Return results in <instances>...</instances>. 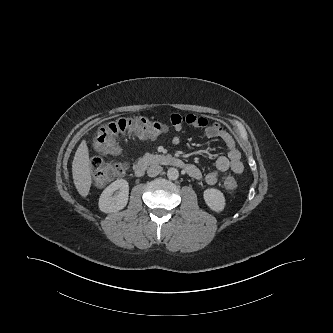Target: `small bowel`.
Masks as SVG:
<instances>
[{
  "label": "small bowel",
  "instance_id": "1",
  "mask_svg": "<svg viewBox=\"0 0 333 333\" xmlns=\"http://www.w3.org/2000/svg\"><path fill=\"white\" fill-rule=\"evenodd\" d=\"M170 120L174 126V131L176 132L172 138V142L175 145L180 143V136L178 134L183 131L185 125L193 126L196 128H203L207 138L219 139L226 145L227 154L219 156L216 159L215 167L204 175V180L207 184H215L218 181L220 174L228 170L235 174H240L243 172L244 166L241 161V154L237 148L236 142L232 135L219 124L209 123L208 120L203 117L178 113L172 114ZM189 165V175L194 179H201L203 177L201 171L195 165Z\"/></svg>",
  "mask_w": 333,
  "mask_h": 333
}]
</instances>
